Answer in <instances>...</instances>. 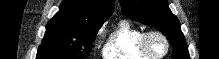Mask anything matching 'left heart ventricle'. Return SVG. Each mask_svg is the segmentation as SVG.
I'll use <instances>...</instances> for the list:
<instances>
[{"label": "left heart ventricle", "instance_id": "b2bd125f", "mask_svg": "<svg viewBox=\"0 0 219 59\" xmlns=\"http://www.w3.org/2000/svg\"><path fill=\"white\" fill-rule=\"evenodd\" d=\"M149 47L154 54H162L165 50L163 41L156 37L150 39Z\"/></svg>", "mask_w": 219, "mask_h": 59}]
</instances>
